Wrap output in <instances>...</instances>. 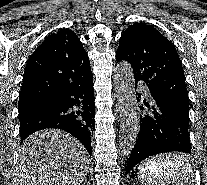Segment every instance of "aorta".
Segmentation results:
<instances>
[{
  "label": "aorta",
  "mask_w": 207,
  "mask_h": 185,
  "mask_svg": "<svg viewBox=\"0 0 207 185\" xmlns=\"http://www.w3.org/2000/svg\"><path fill=\"white\" fill-rule=\"evenodd\" d=\"M115 91L120 111L119 154L127 158L136 143L140 121L132 66L127 61L117 64L114 72Z\"/></svg>",
  "instance_id": "762f6f07"
}]
</instances>
